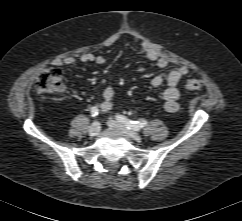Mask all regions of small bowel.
Returning <instances> with one entry per match:
<instances>
[{
	"label": "small bowel",
	"instance_id": "obj_1",
	"mask_svg": "<svg viewBox=\"0 0 242 221\" xmlns=\"http://www.w3.org/2000/svg\"><path fill=\"white\" fill-rule=\"evenodd\" d=\"M135 41L139 44L137 54L146 57L149 61L154 63L157 68L164 69L168 66V60L166 57L161 55L157 49L152 47L147 41L141 37H136ZM80 61L83 63H96L102 65L105 63V57L101 55H95L91 52L83 53L80 57ZM75 63V58L67 56L62 59H56L53 61V65L60 67L63 65H73ZM138 72L143 73L145 71L144 67H139ZM189 72L186 66H181L176 69L171 70L167 75H156L151 80V85L153 87H159L164 82L167 87L163 92L164 108L169 113H175L179 109V97L180 93L177 85L180 79ZM103 101L100 104V109L103 112H108L112 109L115 100V90L111 85L106 86L102 92Z\"/></svg>",
	"mask_w": 242,
	"mask_h": 221
}]
</instances>
